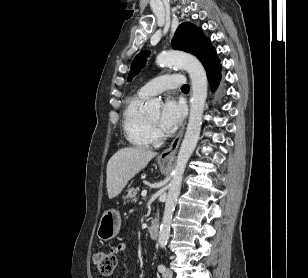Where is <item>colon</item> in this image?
<instances>
[{"mask_svg":"<svg viewBox=\"0 0 308 278\" xmlns=\"http://www.w3.org/2000/svg\"><path fill=\"white\" fill-rule=\"evenodd\" d=\"M94 265L103 275H110L116 266V255L109 251H98L93 257Z\"/></svg>","mask_w":308,"mask_h":278,"instance_id":"obj_1","label":"colon"}]
</instances>
